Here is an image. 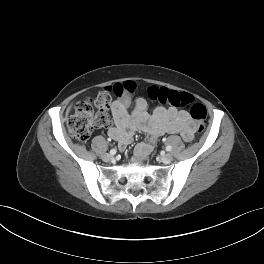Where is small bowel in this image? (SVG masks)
I'll return each instance as SVG.
<instances>
[{
	"instance_id": "1",
	"label": "small bowel",
	"mask_w": 264,
	"mask_h": 264,
	"mask_svg": "<svg viewBox=\"0 0 264 264\" xmlns=\"http://www.w3.org/2000/svg\"><path fill=\"white\" fill-rule=\"evenodd\" d=\"M129 100H116L112 104L115 125L109 128V135L118 143L121 150L132 141L135 131L151 135L152 139L162 134H179L185 142L194 138L196 126L187 111L175 108H157L149 116L147 103L143 98L136 99L131 114L128 113ZM153 145L140 142L135 147V159L142 161L152 151Z\"/></svg>"
}]
</instances>
